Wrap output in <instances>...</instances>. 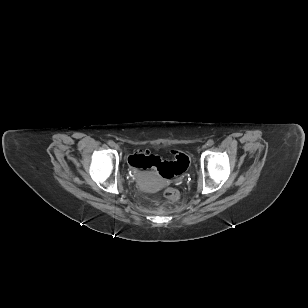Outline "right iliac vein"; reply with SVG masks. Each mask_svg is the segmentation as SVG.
<instances>
[{
  "instance_id": "obj_1",
  "label": "right iliac vein",
  "mask_w": 308,
  "mask_h": 308,
  "mask_svg": "<svg viewBox=\"0 0 308 308\" xmlns=\"http://www.w3.org/2000/svg\"><path fill=\"white\" fill-rule=\"evenodd\" d=\"M112 147L117 149V150L119 149V146L117 144H114Z\"/></svg>"
}]
</instances>
